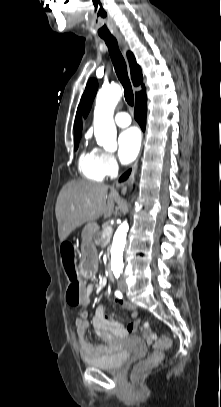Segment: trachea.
Listing matches in <instances>:
<instances>
[{"instance_id": "1", "label": "trachea", "mask_w": 221, "mask_h": 407, "mask_svg": "<svg viewBox=\"0 0 221 407\" xmlns=\"http://www.w3.org/2000/svg\"><path fill=\"white\" fill-rule=\"evenodd\" d=\"M102 39L105 41L108 47L115 72L124 88L125 100L130 106H133L134 105L133 90L128 77L127 66L119 50L117 40L114 36L102 37Z\"/></svg>"}]
</instances>
